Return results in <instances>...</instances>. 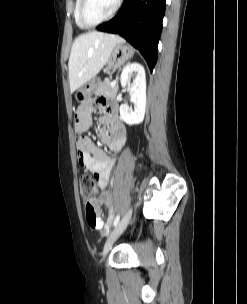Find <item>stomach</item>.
Segmentation results:
<instances>
[{"label":"stomach","instance_id":"1","mask_svg":"<svg viewBox=\"0 0 247 304\" xmlns=\"http://www.w3.org/2000/svg\"><path fill=\"white\" fill-rule=\"evenodd\" d=\"M134 54V50L124 44V43H118L115 45V47L113 48V51L110 55V58L107 62V66L109 69H117L119 68L121 65H123L128 59H130ZM95 85L94 84H90V85H86L82 88H80L75 95V98L78 102H83L85 99H87L93 89H94Z\"/></svg>","mask_w":247,"mask_h":304}]
</instances>
